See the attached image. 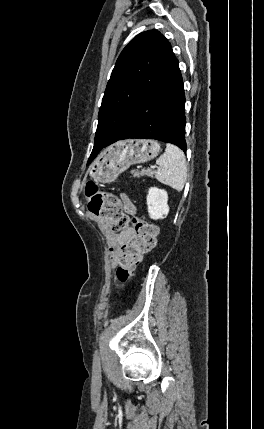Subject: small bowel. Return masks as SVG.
<instances>
[{
  "mask_svg": "<svg viewBox=\"0 0 264 429\" xmlns=\"http://www.w3.org/2000/svg\"><path fill=\"white\" fill-rule=\"evenodd\" d=\"M123 209L126 213L134 215L136 213V207L131 199L126 194L120 195ZM136 238V231L133 227H127L118 233H108L107 240L108 246L111 253V263L113 266L117 263V254L119 249L132 243Z\"/></svg>",
  "mask_w": 264,
  "mask_h": 429,
  "instance_id": "1",
  "label": "small bowel"
}]
</instances>
